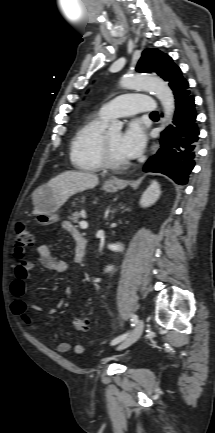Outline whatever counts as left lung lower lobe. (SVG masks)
Here are the masks:
<instances>
[{"label": "left lung lower lobe", "instance_id": "left-lung-lower-lobe-1", "mask_svg": "<svg viewBox=\"0 0 215 433\" xmlns=\"http://www.w3.org/2000/svg\"><path fill=\"white\" fill-rule=\"evenodd\" d=\"M175 96L176 111L173 125L163 133L161 148L144 166L145 172H160L179 185L187 183L195 166L199 129L196 122L194 97L183 77L171 84Z\"/></svg>", "mask_w": 215, "mask_h": 433}]
</instances>
